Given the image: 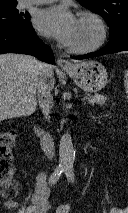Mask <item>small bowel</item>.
I'll list each match as a JSON object with an SVG mask.
<instances>
[{
    "label": "small bowel",
    "instance_id": "c3829d8e",
    "mask_svg": "<svg viewBox=\"0 0 128 213\" xmlns=\"http://www.w3.org/2000/svg\"><path fill=\"white\" fill-rule=\"evenodd\" d=\"M49 194L50 189L46 181V174L41 172L37 176L36 191L26 213H47L51 207ZM5 206L10 210H15L18 208V203L15 201H8L5 203Z\"/></svg>",
    "mask_w": 128,
    "mask_h": 213
}]
</instances>
